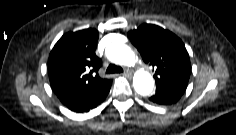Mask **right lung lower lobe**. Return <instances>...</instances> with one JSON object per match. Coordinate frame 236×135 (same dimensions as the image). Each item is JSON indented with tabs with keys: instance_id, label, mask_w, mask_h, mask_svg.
<instances>
[{
	"instance_id": "obj_1",
	"label": "right lung lower lobe",
	"mask_w": 236,
	"mask_h": 135,
	"mask_svg": "<svg viewBox=\"0 0 236 135\" xmlns=\"http://www.w3.org/2000/svg\"><path fill=\"white\" fill-rule=\"evenodd\" d=\"M111 84L112 81L109 80L92 92L79 95H66L58 98L67 108L74 112H88L105 100L110 91Z\"/></svg>"
}]
</instances>
